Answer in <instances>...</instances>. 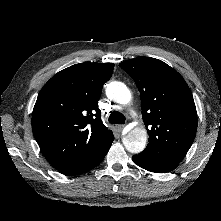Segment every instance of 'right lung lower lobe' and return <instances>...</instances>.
Instances as JSON below:
<instances>
[{
  "label": "right lung lower lobe",
  "instance_id": "98d812e1",
  "mask_svg": "<svg viewBox=\"0 0 221 221\" xmlns=\"http://www.w3.org/2000/svg\"><path fill=\"white\" fill-rule=\"evenodd\" d=\"M107 153H105L103 156H101L100 158H98L97 160H95L92 164H90L89 166H87L86 168H84L83 170L81 171H78V172H75L73 174H70V175H76V174H81V173H84V172H87L91 169H93L94 167H96L97 165H99L101 163V161L104 159L105 155Z\"/></svg>",
  "mask_w": 221,
  "mask_h": 221
}]
</instances>
